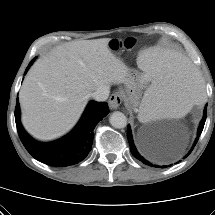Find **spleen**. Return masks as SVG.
Wrapping results in <instances>:
<instances>
[{"mask_svg":"<svg viewBox=\"0 0 215 215\" xmlns=\"http://www.w3.org/2000/svg\"><path fill=\"white\" fill-rule=\"evenodd\" d=\"M137 64L145 72L142 82L151 80L140 106L145 120L183 116L193 104L205 101L201 78L185 56L153 50L141 55Z\"/></svg>","mask_w":215,"mask_h":215,"instance_id":"spleen-1","label":"spleen"}]
</instances>
